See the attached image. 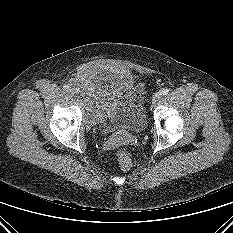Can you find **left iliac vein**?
I'll use <instances>...</instances> for the list:
<instances>
[{
    "instance_id": "4c4485c4",
    "label": "left iliac vein",
    "mask_w": 233,
    "mask_h": 233,
    "mask_svg": "<svg viewBox=\"0 0 233 233\" xmlns=\"http://www.w3.org/2000/svg\"><path fill=\"white\" fill-rule=\"evenodd\" d=\"M161 98V93L160 92H157V93H155L154 95H153V97H152V102L153 103H156V102H158V100Z\"/></svg>"
}]
</instances>
